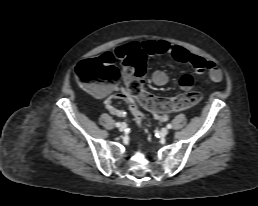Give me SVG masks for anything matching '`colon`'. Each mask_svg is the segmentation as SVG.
<instances>
[{
    "instance_id": "5ec220e1",
    "label": "colon",
    "mask_w": 258,
    "mask_h": 206,
    "mask_svg": "<svg viewBox=\"0 0 258 206\" xmlns=\"http://www.w3.org/2000/svg\"><path fill=\"white\" fill-rule=\"evenodd\" d=\"M78 82L86 88L96 90L101 84H115L121 79V73L109 54L81 61L75 69ZM145 56L137 54L124 61V90L129 107L139 125L143 116L138 105L156 114L194 107L201 100L198 92H185L174 98H157L144 89Z\"/></svg>"
}]
</instances>
